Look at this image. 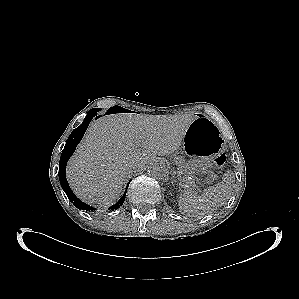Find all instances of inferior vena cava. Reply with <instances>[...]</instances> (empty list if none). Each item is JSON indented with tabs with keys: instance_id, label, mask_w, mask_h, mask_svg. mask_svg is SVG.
I'll list each match as a JSON object with an SVG mask.
<instances>
[{
	"instance_id": "inferior-vena-cava-1",
	"label": "inferior vena cava",
	"mask_w": 299,
	"mask_h": 299,
	"mask_svg": "<svg viewBox=\"0 0 299 299\" xmlns=\"http://www.w3.org/2000/svg\"><path fill=\"white\" fill-rule=\"evenodd\" d=\"M130 170L134 171V167H131Z\"/></svg>"
}]
</instances>
